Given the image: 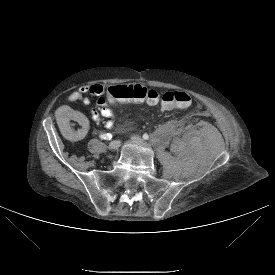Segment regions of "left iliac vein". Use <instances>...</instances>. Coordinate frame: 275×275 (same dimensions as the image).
I'll return each mask as SVG.
<instances>
[{"instance_id": "4c4485c4", "label": "left iliac vein", "mask_w": 275, "mask_h": 275, "mask_svg": "<svg viewBox=\"0 0 275 275\" xmlns=\"http://www.w3.org/2000/svg\"><path fill=\"white\" fill-rule=\"evenodd\" d=\"M131 140L133 142H136V143H142L143 142L142 138L140 136H138V135L131 136Z\"/></svg>"}]
</instances>
